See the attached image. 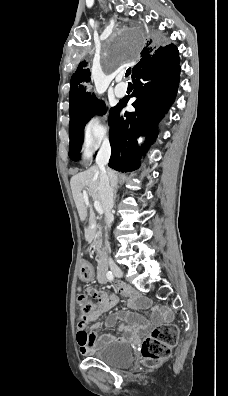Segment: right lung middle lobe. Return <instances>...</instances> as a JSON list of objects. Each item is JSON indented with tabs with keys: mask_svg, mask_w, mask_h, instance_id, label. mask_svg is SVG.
Masks as SVG:
<instances>
[{
	"mask_svg": "<svg viewBox=\"0 0 228 396\" xmlns=\"http://www.w3.org/2000/svg\"><path fill=\"white\" fill-rule=\"evenodd\" d=\"M116 106L111 108L109 114V124L113 118ZM97 113H106L105 103L103 101L95 100L88 108L70 117V147L69 156L76 161L80 157V150L83 141V131L87 121Z\"/></svg>",
	"mask_w": 228,
	"mask_h": 396,
	"instance_id": "dd1d6c3e",
	"label": "right lung middle lobe"
}]
</instances>
